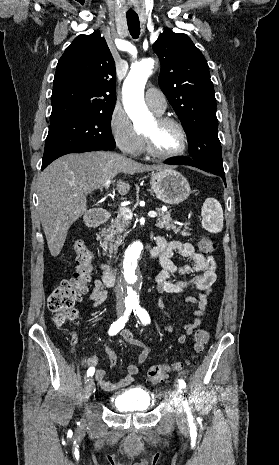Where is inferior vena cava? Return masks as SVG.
<instances>
[{
	"mask_svg": "<svg viewBox=\"0 0 279 465\" xmlns=\"http://www.w3.org/2000/svg\"><path fill=\"white\" fill-rule=\"evenodd\" d=\"M114 291H115V294H116L117 302H122L124 300V295H123V292L121 290V285L119 283L115 286Z\"/></svg>",
	"mask_w": 279,
	"mask_h": 465,
	"instance_id": "602c4592",
	"label": "inferior vena cava"
}]
</instances>
